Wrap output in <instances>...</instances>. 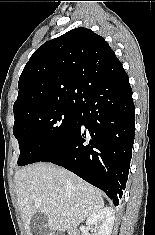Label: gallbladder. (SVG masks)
I'll use <instances>...</instances> for the list:
<instances>
[{
    "mask_svg": "<svg viewBox=\"0 0 155 235\" xmlns=\"http://www.w3.org/2000/svg\"><path fill=\"white\" fill-rule=\"evenodd\" d=\"M32 235H51L45 214L36 212L30 222Z\"/></svg>",
    "mask_w": 155,
    "mask_h": 235,
    "instance_id": "1",
    "label": "gallbladder"
}]
</instances>
